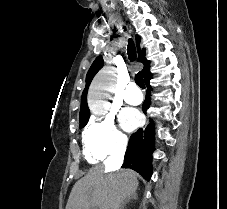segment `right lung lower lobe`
<instances>
[{
    "label": "right lung lower lobe",
    "instance_id": "1",
    "mask_svg": "<svg viewBox=\"0 0 227 209\" xmlns=\"http://www.w3.org/2000/svg\"><path fill=\"white\" fill-rule=\"evenodd\" d=\"M152 75L145 78V83L147 84L148 91H151L149 81ZM151 101L147 96L142 109L146 113ZM154 151V126L151 120L150 125L145 129H139L137 132L133 133L130 137L128 148L125 153L124 163L122 168H131L145 179L150 180L152 174V153Z\"/></svg>",
    "mask_w": 227,
    "mask_h": 209
}]
</instances>
